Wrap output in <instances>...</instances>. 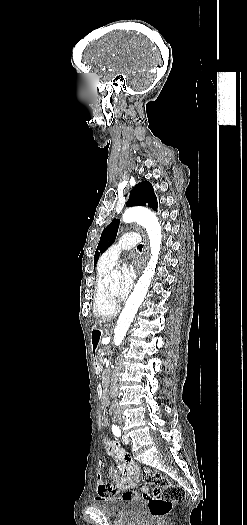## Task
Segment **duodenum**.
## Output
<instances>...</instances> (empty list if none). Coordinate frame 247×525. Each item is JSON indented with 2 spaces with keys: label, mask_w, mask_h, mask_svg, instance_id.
I'll return each instance as SVG.
<instances>
[{
  "label": "duodenum",
  "mask_w": 247,
  "mask_h": 525,
  "mask_svg": "<svg viewBox=\"0 0 247 525\" xmlns=\"http://www.w3.org/2000/svg\"><path fill=\"white\" fill-rule=\"evenodd\" d=\"M94 370H95L96 373H100L102 371V365H101V363L98 360H96L94 362ZM98 394H99L100 398H102V399L106 398L105 394H104V391H103L101 386L98 387Z\"/></svg>",
  "instance_id": "duodenum-1"
}]
</instances>
